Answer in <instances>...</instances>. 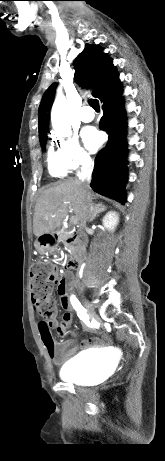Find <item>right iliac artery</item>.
I'll use <instances>...</instances> for the list:
<instances>
[{
  "instance_id": "obj_1",
  "label": "right iliac artery",
  "mask_w": 165,
  "mask_h": 461,
  "mask_svg": "<svg viewBox=\"0 0 165 461\" xmlns=\"http://www.w3.org/2000/svg\"><path fill=\"white\" fill-rule=\"evenodd\" d=\"M71 303L74 309L80 314V316L87 320L88 315L86 313V309L81 305L75 296H71Z\"/></svg>"
}]
</instances>
